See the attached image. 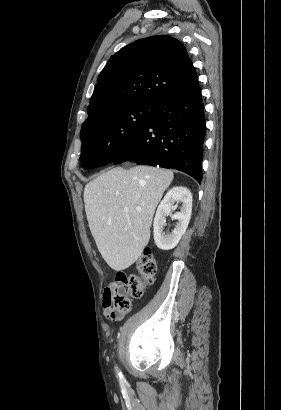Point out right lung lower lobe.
Returning <instances> with one entry per match:
<instances>
[{
  "label": "right lung lower lobe",
  "mask_w": 281,
  "mask_h": 410,
  "mask_svg": "<svg viewBox=\"0 0 281 410\" xmlns=\"http://www.w3.org/2000/svg\"><path fill=\"white\" fill-rule=\"evenodd\" d=\"M206 119L199 85L165 99L154 107L152 119L112 162L174 168L202 180Z\"/></svg>",
  "instance_id": "right-lung-lower-lobe-1"
}]
</instances>
